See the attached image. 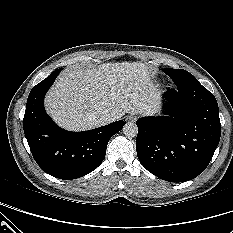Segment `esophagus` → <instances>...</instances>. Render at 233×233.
Here are the masks:
<instances>
[{"label": "esophagus", "instance_id": "esophagus-1", "mask_svg": "<svg viewBox=\"0 0 233 233\" xmlns=\"http://www.w3.org/2000/svg\"><path fill=\"white\" fill-rule=\"evenodd\" d=\"M136 119H137V116L134 115V114H130V115H127V116H126V121H127V122H135Z\"/></svg>", "mask_w": 233, "mask_h": 233}]
</instances>
